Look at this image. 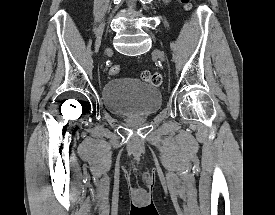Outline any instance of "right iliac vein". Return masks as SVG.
<instances>
[{"label": "right iliac vein", "instance_id": "1", "mask_svg": "<svg viewBox=\"0 0 275 215\" xmlns=\"http://www.w3.org/2000/svg\"><path fill=\"white\" fill-rule=\"evenodd\" d=\"M110 51V49L108 48V49H106V52H109Z\"/></svg>", "mask_w": 275, "mask_h": 215}]
</instances>
